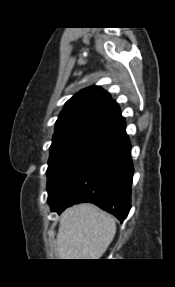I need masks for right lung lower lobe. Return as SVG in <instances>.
<instances>
[{"mask_svg":"<svg viewBox=\"0 0 175 287\" xmlns=\"http://www.w3.org/2000/svg\"><path fill=\"white\" fill-rule=\"evenodd\" d=\"M125 122L98 143L48 193L52 211L90 202L121 222L131 207L133 164Z\"/></svg>","mask_w":175,"mask_h":287,"instance_id":"right-lung-lower-lobe-1","label":"right lung lower lobe"}]
</instances>
